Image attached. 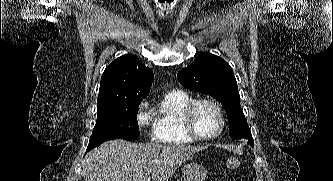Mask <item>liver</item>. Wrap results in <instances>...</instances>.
Returning <instances> with one entry per match:
<instances>
[{"label": "liver", "mask_w": 333, "mask_h": 181, "mask_svg": "<svg viewBox=\"0 0 333 181\" xmlns=\"http://www.w3.org/2000/svg\"><path fill=\"white\" fill-rule=\"evenodd\" d=\"M204 148L111 140L85 156L84 181H167L187 159Z\"/></svg>", "instance_id": "1"}]
</instances>
